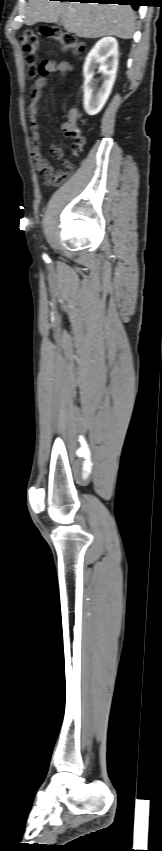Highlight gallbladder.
Segmentation results:
<instances>
[{
  "instance_id": "1",
  "label": "gallbladder",
  "mask_w": 162,
  "mask_h": 851,
  "mask_svg": "<svg viewBox=\"0 0 162 851\" xmlns=\"http://www.w3.org/2000/svg\"><path fill=\"white\" fill-rule=\"evenodd\" d=\"M61 22H62L61 20L58 21V23H61Z\"/></svg>"
}]
</instances>
